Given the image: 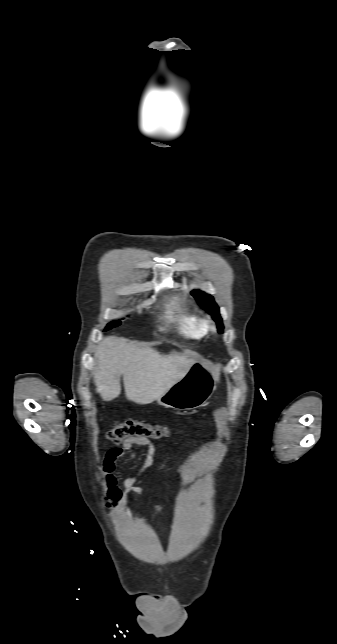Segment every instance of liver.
Returning <instances> with one entry per match:
<instances>
[{
	"label": "liver",
	"mask_w": 337,
	"mask_h": 644,
	"mask_svg": "<svg viewBox=\"0 0 337 644\" xmlns=\"http://www.w3.org/2000/svg\"><path fill=\"white\" fill-rule=\"evenodd\" d=\"M96 390L104 401L121 393L120 376L126 397L137 404H149L166 393L190 370L194 359L172 351L161 354L153 348H140L124 338L108 336L95 352Z\"/></svg>",
	"instance_id": "obj_1"
}]
</instances>
